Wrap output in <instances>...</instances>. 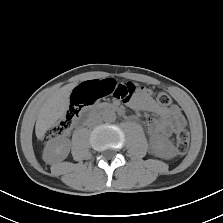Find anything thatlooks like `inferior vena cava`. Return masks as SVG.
Returning <instances> with one entry per match:
<instances>
[{"mask_svg": "<svg viewBox=\"0 0 223 223\" xmlns=\"http://www.w3.org/2000/svg\"><path fill=\"white\" fill-rule=\"evenodd\" d=\"M101 121V117L99 115H92L89 119H88V126H93L98 124Z\"/></svg>", "mask_w": 223, "mask_h": 223, "instance_id": "obj_1", "label": "inferior vena cava"}]
</instances>
